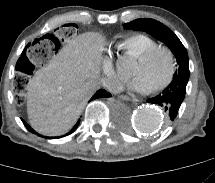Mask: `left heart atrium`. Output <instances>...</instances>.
I'll use <instances>...</instances> for the list:
<instances>
[{"label": "left heart atrium", "mask_w": 215, "mask_h": 183, "mask_svg": "<svg viewBox=\"0 0 215 183\" xmlns=\"http://www.w3.org/2000/svg\"><path fill=\"white\" fill-rule=\"evenodd\" d=\"M128 87L136 92L147 93L150 91L149 85L146 83L142 76H134L129 82Z\"/></svg>", "instance_id": "obj_1"}]
</instances>
